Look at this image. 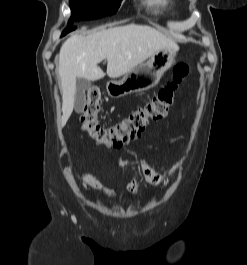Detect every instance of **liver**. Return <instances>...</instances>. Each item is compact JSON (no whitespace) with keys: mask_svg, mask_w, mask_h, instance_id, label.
Listing matches in <instances>:
<instances>
[{"mask_svg":"<svg viewBox=\"0 0 247 265\" xmlns=\"http://www.w3.org/2000/svg\"><path fill=\"white\" fill-rule=\"evenodd\" d=\"M162 48L178 49L164 34L146 25L128 24L102 30L88 36L72 35L61 46L59 75L64 126L72 114L77 78L102 79L98 64L107 59V75L118 78L137 67Z\"/></svg>","mask_w":247,"mask_h":265,"instance_id":"6515ba94","label":"liver"}]
</instances>
